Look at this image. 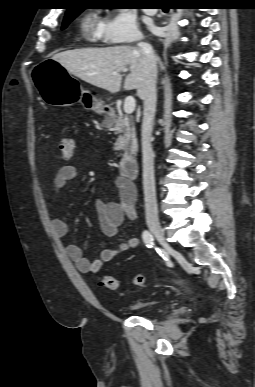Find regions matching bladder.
Returning <instances> with one entry per match:
<instances>
[{
  "label": "bladder",
  "mask_w": 255,
  "mask_h": 387,
  "mask_svg": "<svg viewBox=\"0 0 255 387\" xmlns=\"http://www.w3.org/2000/svg\"><path fill=\"white\" fill-rule=\"evenodd\" d=\"M162 300L160 299H150L143 302H139L134 305V309L138 311L139 313H147L151 309L161 306Z\"/></svg>",
  "instance_id": "obj_1"
}]
</instances>
